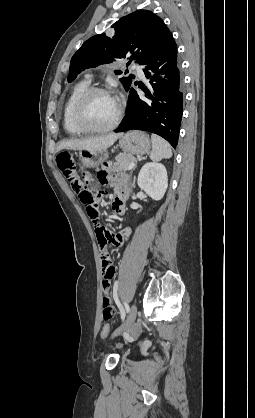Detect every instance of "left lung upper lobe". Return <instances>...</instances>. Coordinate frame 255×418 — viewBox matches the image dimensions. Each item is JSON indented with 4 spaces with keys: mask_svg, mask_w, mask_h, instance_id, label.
<instances>
[{
    "mask_svg": "<svg viewBox=\"0 0 255 418\" xmlns=\"http://www.w3.org/2000/svg\"><path fill=\"white\" fill-rule=\"evenodd\" d=\"M113 38L104 33L95 35L83 43L70 62L68 82H72L81 69L93 68L116 62L121 58L143 65L151 56L160 52L173 37L163 20L148 10H138L119 19L112 25ZM115 74H122L116 70ZM133 75L120 79L129 91Z\"/></svg>",
    "mask_w": 255,
    "mask_h": 418,
    "instance_id": "left-lung-upper-lobe-1",
    "label": "left lung upper lobe"
}]
</instances>
